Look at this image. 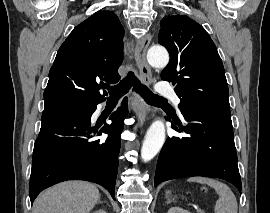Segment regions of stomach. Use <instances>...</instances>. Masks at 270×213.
I'll return each mask as SVG.
<instances>
[{
  "mask_svg": "<svg viewBox=\"0 0 270 213\" xmlns=\"http://www.w3.org/2000/svg\"><path fill=\"white\" fill-rule=\"evenodd\" d=\"M170 194H171L170 191H166V195H167L168 198H169Z\"/></svg>",
  "mask_w": 270,
  "mask_h": 213,
  "instance_id": "stomach-1",
  "label": "stomach"
}]
</instances>
